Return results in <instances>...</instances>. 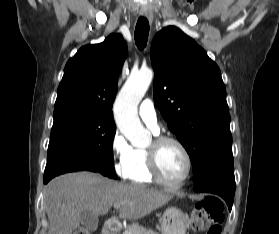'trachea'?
Instances as JSON below:
<instances>
[{
    "label": "trachea",
    "instance_id": "1",
    "mask_svg": "<svg viewBox=\"0 0 279 234\" xmlns=\"http://www.w3.org/2000/svg\"><path fill=\"white\" fill-rule=\"evenodd\" d=\"M149 35V23L145 17L138 19L135 28V43L140 50H143L147 44Z\"/></svg>",
    "mask_w": 279,
    "mask_h": 234
}]
</instances>
